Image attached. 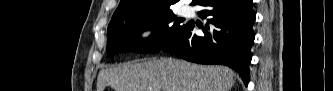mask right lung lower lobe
<instances>
[{
  "mask_svg": "<svg viewBox=\"0 0 333 91\" xmlns=\"http://www.w3.org/2000/svg\"><path fill=\"white\" fill-rule=\"evenodd\" d=\"M206 7L199 12L209 17L208 24L198 26L204 35L195 34L196 24L189 21L183 30L162 49L182 59L201 64H222L236 70L245 85L254 41L255 14L252 0H202ZM210 24V25H209Z\"/></svg>",
  "mask_w": 333,
  "mask_h": 91,
  "instance_id": "right-lung-lower-lobe-1",
  "label": "right lung lower lobe"
}]
</instances>
